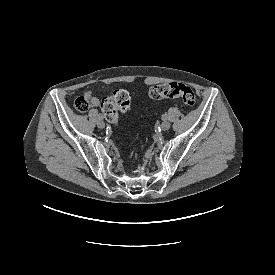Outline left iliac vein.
I'll list each match as a JSON object with an SVG mask.
<instances>
[{
	"label": "left iliac vein",
	"instance_id": "1",
	"mask_svg": "<svg viewBox=\"0 0 275 275\" xmlns=\"http://www.w3.org/2000/svg\"><path fill=\"white\" fill-rule=\"evenodd\" d=\"M170 126H171V124L166 120H164L161 124L162 130H168L170 128Z\"/></svg>",
	"mask_w": 275,
	"mask_h": 275
}]
</instances>
